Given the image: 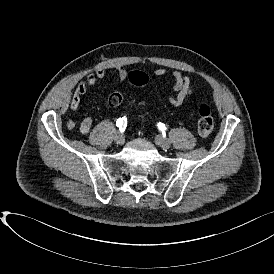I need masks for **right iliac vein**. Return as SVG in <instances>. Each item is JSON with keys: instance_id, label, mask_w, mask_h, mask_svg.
<instances>
[{"instance_id": "right-iliac-vein-1", "label": "right iliac vein", "mask_w": 274, "mask_h": 274, "mask_svg": "<svg viewBox=\"0 0 274 274\" xmlns=\"http://www.w3.org/2000/svg\"><path fill=\"white\" fill-rule=\"evenodd\" d=\"M114 140H115V142L117 143V144H119V145H122L123 143H124V136H123V134H121V133H117V134H115V136H114Z\"/></svg>"}]
</instances>
